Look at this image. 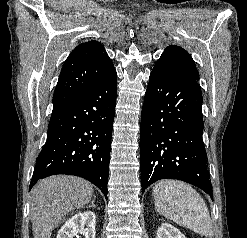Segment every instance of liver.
I'll use <instances>...</instances> for the list:
<instances>
[{"label": "liver", "instance_id": "6515ba94", "mask_svg": "<svg viewBox=\"0 0 247 238\" xmlns=\"http://www.w3.org/2000/svg\"><path fill=\"white\" fill-rule=\"evenodd\" d=\"M92 185L79 177L56 175L41 180L31 191L30 216L34 238H50L64 215L85 207Z\"/></svg>", "mask_w": 247, "mask_h": 238}]
</instances>
